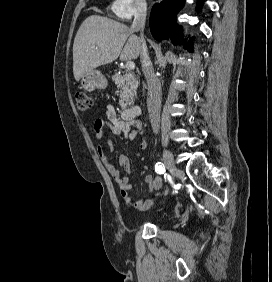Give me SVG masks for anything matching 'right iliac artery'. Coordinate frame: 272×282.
<instances>
[{"mask_svg": "<svg viewBox=\"0 0 272 282\" xmlns=\"http://www.w3.org/2000/svg\"><path fill=\"white\" fill-rule=\"evenodd\" d=\"M155 171L158 174H163V173H165V166L159 162L155 165Z\"/></svg>", "mask_w": 272, "mask_h": 282, "instance_id": "right-iliac-artery-1", "label": "right iliac artery"}]
</instances>
